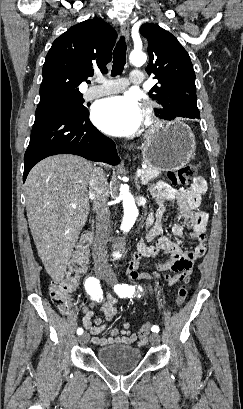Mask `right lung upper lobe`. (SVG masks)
<instances>
[{"label": "right lung upper lobe", "mask_w": 243, "mask_h": 409, "mask_svg": "<svg viewBox=\"0 0 243 409\" xmlns=\"http://www.w3.org/2000/svg\"><path fill=\"white\" fill-rule=\"evenodd\" d=\"M116 31L101 19H88L69 28L52 44L43 65L40 101L82 95L78 86L93 75L107 72Z\"/></svg>", "instance_id": "right-lung-upper-lobe-1"}]
</instances>
